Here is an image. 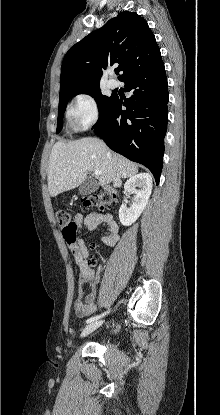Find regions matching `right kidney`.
<instances>
[{
    "instance_id": "1",
    "label": "right kidney",
    "mask_w": 220,
    "mask_h": 415,
    "mask_svg": "<svg viewBox=\"0 0 220 415\" xmlns=\"http://www.w3.org/2000/svg\"><path fill=\"white\" fill-rule=\"evenodd\" d=\"M152 177L148 173H140L128 179L124 185L127 193L135 194L134 202L127 208L126 202L119 209V219L122 225H132L145 209L152 192ZM136 187L140 188L139 190Z\"/></svg>"
}]
</instances>
